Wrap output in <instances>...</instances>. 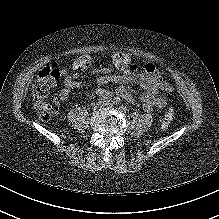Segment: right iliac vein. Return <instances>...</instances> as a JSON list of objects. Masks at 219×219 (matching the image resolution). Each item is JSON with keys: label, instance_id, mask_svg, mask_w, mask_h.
<instances>
[{"label": "right iliac vein", "instance_id": "obj_1", "mask_svg": "<svg viewBox=\"0 0 219 219\" xmlns=\"http://www.w3.org/2000/svg\"><path fill=\"white\" fill-rule=\"evenodd\" d=\"M101 107H103V104H102L101 101H98V102H96V103L93 104L92 109H93L94 111H97V110H99Z\"/></svg>", "mask_w": 219, "mask_h": 219}]
</instances>
